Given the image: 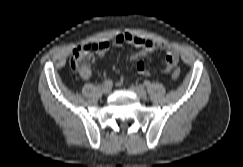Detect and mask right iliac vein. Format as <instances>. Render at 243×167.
<instances>
[{"mask_svg": "<svg viewBox=\"0 0 243 167\" xmlns=\"http://www.w3.org/2000/svg\"><path fill=\"white\" fill-rule=\"evenodd\" d=\"M102 91H103L104 94H109L111 92V86L104 85L102 87Z\"/></svg>", "mask_w": 243, "mask_h": 167, "instance_id": "1", "label": "right iliac vein"}]
</instances>
